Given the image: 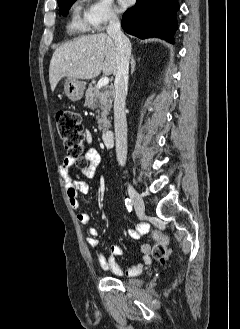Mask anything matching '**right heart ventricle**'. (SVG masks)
Segmentation results:
<instances>
[{
  "label": "right heart ventricle",
  "mask_w": 240,
  "mask_h": 329,
  "mask_svg": "<svg viewBox=\"0 0 240 329\" xmlns=\"http://www.w3.org/2000/svg\"><path fill=\"white\" fill-rule=\"evenodd\" d=\"M83 7L80 2L76 3L73 7L71 18L68 22L67 28L74 33H86L89 30V25L86 20L85 13L82 14Z\"/></svg>",
  "instance_id": "1"
}]
</instances>
